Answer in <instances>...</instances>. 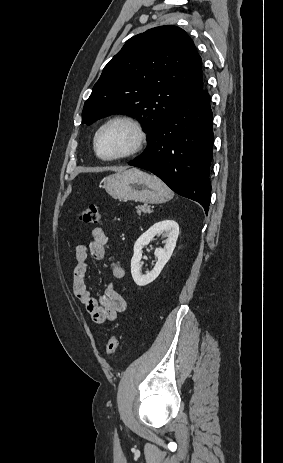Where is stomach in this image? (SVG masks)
<instances>
[{"mask_svg": "<svg viewBox=\"0 0 283 463\" xmlns=\"http://www.w3.org/2000/svg\"><path fill=\"white\" fill-rule=\"evenodd\" d=\"M107 193L120 201L162 203L173 193L158 177L139 169H129L103 179Z\"/></svg>", "mask_w": 283, "mask_h": 463, "instance_id": "0dacf381", "label": "stomach"}]
</instances>
